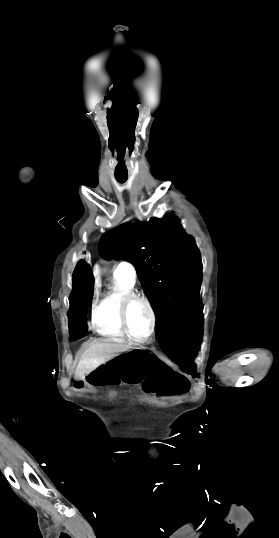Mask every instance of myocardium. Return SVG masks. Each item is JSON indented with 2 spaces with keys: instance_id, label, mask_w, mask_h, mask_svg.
<instances>
[{
  "instance_id": "obj_1",
  "label": "myocardium",
  "mask_w": 279,
  "mask_h": 538,
  "mask_svg": "<svg viewBox=\"0 0 279 538\" xmlns=\"http://www.w3.org/2000/svg\"><path fill=\"white\" fill-rule=\"evenodd\" d=\"M135 302L143 303L148 308V310L150 312L151 327H150V331H149L148 335L146 337H144V338H138V337L134 336L131 333L130 329H129L128 318H127L128 310H129L130 306ZM118 317H119V322H120V325H121L124 333L126 334V336L130 340L134 341L135 343L144 344V343L149 342L151 340V338L153 337V335L155 334V332H156V327H157L156 311L154 309V306H153L152 302L146 296L140 295V294L135 293V292H130L127 295H125L123 297L120 305H119Z\"/></svg>"
}]
</instances>
